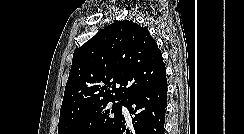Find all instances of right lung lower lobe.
<instances>
[{
  "label": "right lung lower lobe",
  "instance_id": "obj_1",
  "mask_svg": "<svg viewBox=\"0 0 244 134\" xmlns=\"http://www.w3.org/2000/svg\"><path fill=\"white\" fill-rule=\"evenodd\" d=\"M123 105L128 109L132 127H127L122 115L114 121L105 134H164L167 107V78L145 87L127 97Z\"/></svg>",
  "mask_w": 244,
  "mask_h": 134
}]
</instances>
